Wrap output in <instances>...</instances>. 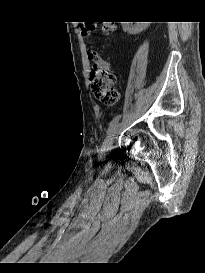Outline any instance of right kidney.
Wrapping results in <instances>:
<instances>
[{"label":"right kidney","instance_id":"obj_1","mask_svg":"<svg viewBox=\"0 0 205 273\" xmlns=\"http://www.w3.org/2000/svg\"><path fill=\"white\" fill-rule=\"evenodd\" d=\"M123 26V30L130 34H137L143 31L149 24V22H134V26L130 25L133 22H121Z\"/></svg>","mask_w":205,"mask_h":273}]
</instances>
